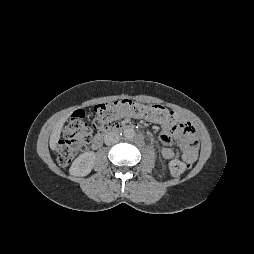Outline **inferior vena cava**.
I'll return each instance as SVG.
<instances>
[{
  "instance_id": "1",
  "label": "inferior vena cava",
  "mask_w": 254,
  "mask_h": 254,
  "mask_svg": "<svg viewBox=\"0 0 254 254\" xmlns=\"http://www.w3.org/2000/svg\"><path fill=\"white\" fill-rule=\"evenodd\" d=\"M119 141V135L116 132H108L104 136V142L106 145H113Z\"/></svg>"
}]
</instances>
